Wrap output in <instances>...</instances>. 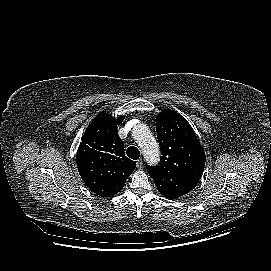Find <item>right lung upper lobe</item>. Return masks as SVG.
Listing matches in <instances>:
<instances>
[{"label": "right lung upper lobe", "instance_id": "cb5924a9", "mask_svg": "<svg viewBox=\"0 0 271 271\" xmlns=\"http://www.w3.org/2000/svg\"><path fill=\"white\" fill-rule=\"evenodd\" d=\"M123 120L124 116L115 119L108 113H99L77 151V167L84 183L88 187L113 188L104 196L119 192L136 167V162L125 156L124 143L118 136L117 125Z\"/></svg>", "mask_w": 271, "mask_h": 271}]
</instances>
